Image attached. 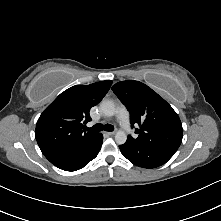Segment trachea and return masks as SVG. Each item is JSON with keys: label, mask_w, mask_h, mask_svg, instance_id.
Instances as JSON below:
<instances>
[{"label": "trachea", "mask_w": 221, "mask_h": 221, "mask_svg": "<svg viewBox=\"0 0 221 221\" xmlns=\"http://www.w3.org/2000/svg\"><path fill=\"white\" fill-rule=\"evenodd\" d=\"M87 131H93V132H99V131H113L114 130V126L110 125V124H106V125H102V124H95L93 127L91 128H86Z\"/></svg>", "instance_id": "3493384b"}]
</instances>
